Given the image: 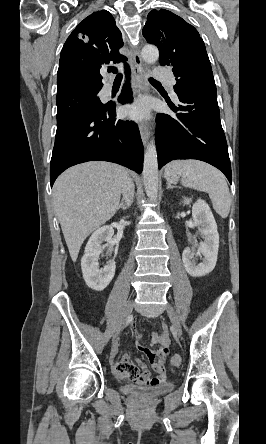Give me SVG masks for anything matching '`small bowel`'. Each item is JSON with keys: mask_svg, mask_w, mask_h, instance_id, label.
I'll return each instance as SVG.
<instances>
[{"mask_svg": "<svg viewBox=\"0 0 266 444\" xmlns=\"http://www.w3.org/2000/svg\"><path fill=\"white\" fill-rule=\"evenodd\" d=\"M141 336L138 334L135 338V345L147 359L156 372L155 377H151L146 365L138 359L136 365L130 361L127 354H124L120 361L113 364L114 375L122 381H131L143 386H156L166 382L165 362L169 351L170 337L167 327L164 325L161 333H155L152 336L153 342L158 345L156 350H151L142 345ZM119 341L114 343V352H117Z\"/></svg>", "mask_w": 266, "mask_h": 444, "instance_id": "obj_1", "label": "small bowel"}]
</instances>
